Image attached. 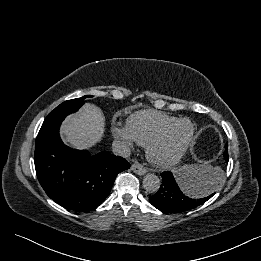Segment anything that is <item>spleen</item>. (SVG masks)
Listing matches in <instances>:
<instances>
[{
    "label": "spleen",
    "instance_id": "obj_1",
    "mask_svg": "<svg viewBox=\"0 0 261 261\" xmlns=\"http://www.w3.org/2000/svg\"><path fill=\"white\" fill-rule=\"evenodd\" d=\"M187 172L192 178H195L201 183L202 189L199 192V196H206L212 193L218 186L219 174L208 165H191L188 167ZM210 183L213 184V187H206V185Z\"/></svg>",
    "mask_w": 261,
    "mask_h": 261
}]
</instances>
